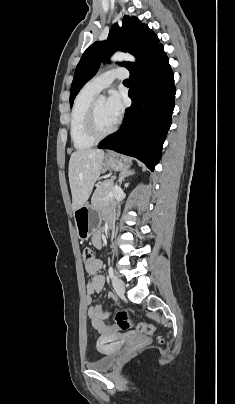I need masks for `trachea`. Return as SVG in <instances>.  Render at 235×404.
<instances>
[{
    "mask_svg": "<svg viewBox=\"0 0 235 404\" xmlns=\"http://www.w3.org/2000/svg\"><path fill=\"white\" fill-rule=\"evenodd\" d=\"M124 83H130L129 79L124 80Z\"/></svg>",
    "mask_w": 235,
    "mask_h": 404,
    "instance_id": "3493384b",
    "label": "trachea"
}]
</instances>
